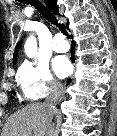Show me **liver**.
<instances>
[{"instance_id":"1","label":"liver","mask_w":117,"mask_h":136,"mask_svg":"<svg viewBox=\"0 0 117 136\" xmlns=\"http://www.w3.org/2000/svg\"><path fill=\"white\" fill-rule=\"evenodd\" d=\"M56 113L57 109L49 108L46 103L28 104L8 118L2 136H44Z\"/></svg>"}]
</instances>
